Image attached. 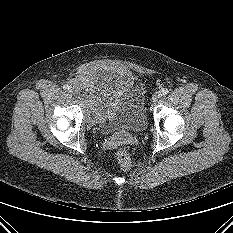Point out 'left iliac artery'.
Segmentation results:
<instances>
[{
    "label": "left iliac artery",
    "mask_w": 233,
    "mask_h": 233,
    "mask_svg": "<svg viewBox=\"0 0 233 233\" xmlns=\"http://www.w3.org/2000/svg\"><path fill=\"white\" fill-rule=\"evenodd\" d=\"M169 93V90L167 88L162 89V94L167 95Z\"/></svg>",
    "instance_id": "obj_1"
}]
</instances>
